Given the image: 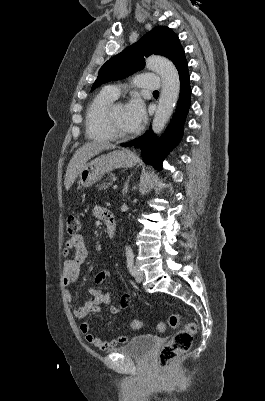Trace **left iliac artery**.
<instances>
[{
  "label": "left iliac artery",
  "instance_id": "44dca946",
  "mask_svg": "<svg viewBox=\"0 0 265 401\" xmlns=\"http://www.w3.org/2000/svg\"><path fill=\"white\" fill-rule=\"evenodd\" d=\"M127 267L131 273L132 276L136 275V268L134 265V256L133 255H128L127 256Z\"/></svg>",
  "mask_w": 265,
  "mask_h": 401
}]
</instances>
